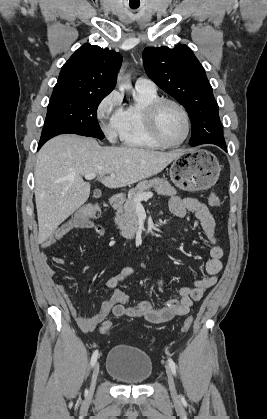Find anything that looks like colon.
Wrapping results in <instances>:
<instances>
[{"mask_svg": "<svg viewBox=\"0 0 267 419\" xmlns=\"http://www.w3.org/2000/svg\"><path fill=\"white\" fill-rule=\"evenodd\" d=\"M221 203V200L218 195L211 194L208 197V204L212 207H217ZM101 214V209L98 205L95 204H87L82 207H80L72 216V220L76 222L81 221H89L92 219H95L99 217ZM193 323V318L188 317L185 319L182 325V331L186 332L190 329L191 325ZM112 323L110 321H104L100 327L101 334H108L111 330Z\"/></svg>", "mask_w": 267, "mask_h": 419, "instance_id": "colon-1", "label": "colon"}]
</instances>
